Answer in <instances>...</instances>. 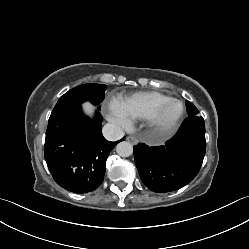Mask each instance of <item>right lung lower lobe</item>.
<instances>
[{
  "label": "right lung lower lobe",
  "mask_w": 249,
  "mask_h": 249,
  "mask_svg": "<svg viewBox=\"0 0 249 249\" xmlns=\"http://www.w3.org/2000/svg\"><path fill=\"white\" fill-rule=\"evenodd\" d=\"M102 116L86 118L80 107L49 119L45 139V160L56 181L74 193L95 190L102 182L106 159L118 142L107 141L101 132Z\"/></svg>",
  "instance_id": "right-lung-lower-lobe-1"
}]
</instances>
